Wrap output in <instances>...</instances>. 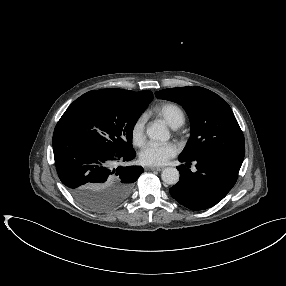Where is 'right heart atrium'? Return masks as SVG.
<instances>
[{"label": "right heart atrium", "mask_w": 286, "mask_h": 286, "mask_svg": "<svg viewBox=\"0 0 286 286\" xmlns=\"http://www.w3.org/2000/svg\"><path fill=\"white\" fill-rule=\"evenodd\" d=\"M146 115L142 114L134 121L131 127V139L134 145L141 146L145 141Z\"/></svg>", "instance_id": "d8ad5b80"}]
</instances>
